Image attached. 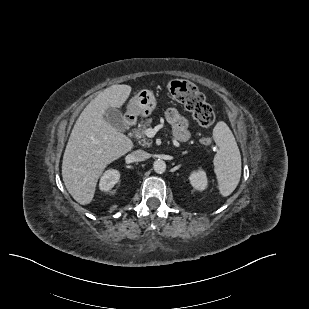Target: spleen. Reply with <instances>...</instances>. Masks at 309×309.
Masks as SVG:
<instances>
[{
    "instance_id": "1",
    "label": "spleen",
    "mask_w": 309,
    "mask_h": 309,
    "mask_svg": "<svg viewBox=\"0 0 309 309\" xmlns=\"http://www.w3.org/2000/svg\"><path fill=\"white\" fill-rule=\"evenodd\" d=\"M213 138L219 147L213 160L218 189L223 197H227L239 184L241 155L234 135L225 122L220 121L216 124Z\"/></svg>"
}]
</instances>
